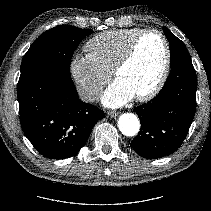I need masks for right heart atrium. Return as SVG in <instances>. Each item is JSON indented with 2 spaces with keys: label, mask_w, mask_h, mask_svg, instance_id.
I'll list each match as a JSON object with an SVG mask.
<instances>
[{
  "label": "right heart atrium",
  "mask_w": 211,
  "mask_h": 211,
  "mask_svg": "<svg viewBox=\"0 0 211 211\" xmlns=\"http://www.w3.org/2000/svg\"><path fill=\"white\" fill-rule=\"evenodd\" d=\"M70 75L82 100L95 101L111 74L104 71L88 54L75 53L69 62Z\"/></svg>",
  "instance_id": "1"
}]
</instances>
